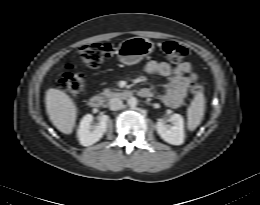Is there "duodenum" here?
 I'll use <instances>...</instances> for the list:
<instances>
[{"label": "duodenum", "mask_w": 260, "mask_h": 205, "mask_svg": "<svg viewBox=\"0 0 260 205\" xmlns=\"http://www.w3.org/2000/svg\"><path fill=\"white\" fill-rule=\"evenodd\" d=\"M141 94V93H140ZM135 95L132 90H116L109 93L107 96L104 95H93L88 99V104L92 108H101L105 104L106 99L118 98V99H129Z\"/></svg>", "instance_id": "duodenum-1"}]
</instances>
